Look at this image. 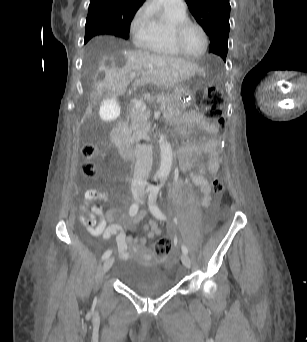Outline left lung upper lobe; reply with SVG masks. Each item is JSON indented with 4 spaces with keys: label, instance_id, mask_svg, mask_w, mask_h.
I'll return each mask as SVG.
<instances>
[{
    "label": "left lung upper lobe",
    "instance_id": "obj_1",
    "mask_svg": "<svg viewBox=\"0 0 307 342\" xmlns=\"http://www.w3.org/2000/svg\"><path fill=\"white\" fill-rule=\"evenodd\" d=\"M192 15L210 39L209 52L217 54L225 61L228 52L230 30L229 0H185Z\"/></svg>",
    "mask_w": 307,
    "mask_h": 342
}]
</instances>
